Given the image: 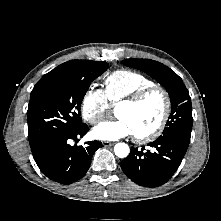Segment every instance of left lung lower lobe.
Segmentation results:
<instances>
[{
	"instance_id": "left-lung-lower-lobe-1",
	"label": "left lung lower lobe",
	"mask_w": 221,
	"mask_h": 221,
	"mask_svg": "<svg viewBox=\"0 0 221 221\" xmlns=\"http://www.w3.org/2000/svg\"><path fill=\"white\" fill-rule=\"evenodd\" d=\"M148 146L152 149L132 148L120 166L133 182L157 187L166 183L177 171L189 143L172 137H159Z\"/></svg>"
}]
</instances>
